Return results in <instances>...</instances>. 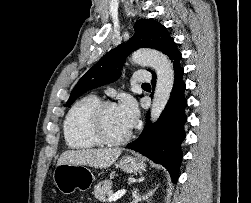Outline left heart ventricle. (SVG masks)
<instances>
[{"instance_id":"b2bd125f","label":"left heart ventricle","mask_w":251,"mask_h":203,"mask_svg":"<svg viewBox=\"0 0 251 203\" xmlns=\"http://www.w3.org/2000/svg\"><path fill=\"white\" fill-rule=\"evenodd\" d=\"M103 127L106 134L111 138H119L129 132V129L120 118L116 106L107 109L104 113Z\"/></svg>"}]
</instances>
